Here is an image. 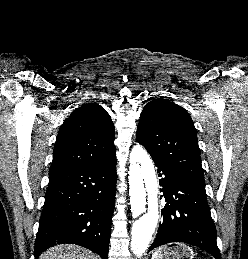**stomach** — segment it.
I'll list each match as a JSON object with an SVG mask.
<instances>
[{"instance_id": "0dacf381", "label": "stomach", "mask_w": 248, "mask_h": 259, "mask_svg": "<svg viewBox=\"0 0 248 259\" xmlns=\"http://www.w3.org/2000/svg\"><path fill=\"white\" fill-rule=\"evenodd\" d=\"M158 259H194L192 248L184 243L169 244L158 249Z\"/></svg>"}]
</instances>
